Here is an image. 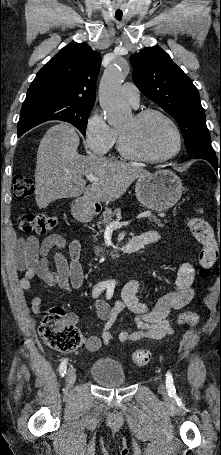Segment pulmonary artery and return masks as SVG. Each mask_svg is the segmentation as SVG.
I'll use <instances>...</instances> for the list:
<instances>
[{
    "mask_svg": "<svg viewBox=\"0 0 221 455\" xmlns=\"http://www.w3.org/2000/svg\"><path fill=\"white\" fill-rule=\"evenodd\" d=\"M121 95L134 107H137L140 94L137 86L133 83H125L121 87Z\"/></svg>",
    "mask_w": 221,
    "mask_h": 455,
    "instance_id": "obj_1",
    "label": "pulmonary artery"
}]
</instances>
